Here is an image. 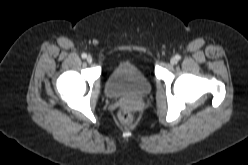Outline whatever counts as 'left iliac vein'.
<instances>
[{
	"label": "left iliac vein",
	"instance_id": "obj_1",
	"mask_svg": "<svg viewBox=\"0 0 248 165\" xmlns=\"http://www.w3.org/2000/svg\"><path fill=\"white\" fill-rule=\"evenodd\" d=\"M170 63H171L172 65H174V64L177 63V60H176L175 58H171Z\"/></svg>",
	"mask_w": 248,
	"mask_h": 165
}]
</instances>
